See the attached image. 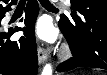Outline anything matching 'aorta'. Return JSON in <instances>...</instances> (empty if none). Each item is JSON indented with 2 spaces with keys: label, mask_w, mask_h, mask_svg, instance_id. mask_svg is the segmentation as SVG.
Segmentation results:
<instances>
[{
  "label": "aorta",
  "mask_w": 107,
  "mask_h": 75,
  "mask_svg": "<svg viewBox=\"0 0 107 75\" xmlns=\"http://www.w3.org/2000/svg\"><path fill=\"white\" fill-rule=\"evenodd\" d=\"M41 75H52V66H51V64H46L44 66Z\"/></svg>",
  "instance_id": "1"
}]
</instances>
